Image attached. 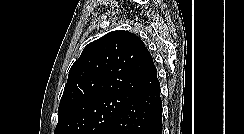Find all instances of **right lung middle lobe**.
Segmentation results:
<instances>
[{
  "label": "right lung middle lobe",
  "instance_id": "1",
  "mask_svg": "<svg viewBox=\"0 0 244 134\" xmlns=\"http://www.w3.org/2000/svg\"><path fill=\"white\" fill-rule=\"evenodd\" d=\"M126 97H106L77 108L58 119L55 134H101L129 102Z\"/></svg>",
  "mask_w": 244,
  "mask_h": 134
}]
</instances>
